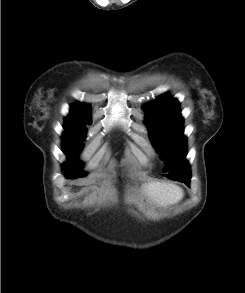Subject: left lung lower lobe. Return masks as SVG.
Here are the masks:
<instances>
[{
    "instance_id": "left-lung-lower-lobe-1",
    "label": "left lung lower lobe",
    "mask_w": 245,
    "mask_h": 293,
    "mask_svg": "<svg viewBox=\"0 0 245 293\" xmlns=\"http://www.w3.org/2000/svg\"><path fill=\"white\" fill-rule=\"evenodd\" d=\"M190 178H191V176L182 177V178H180V180H181L180 182H183L186 185H189L190 184Z\"/></svg>"
}]
</instances>
